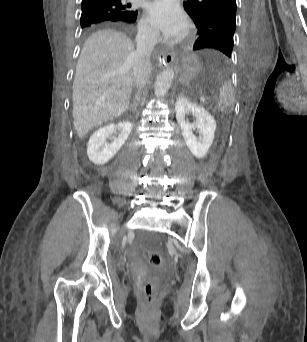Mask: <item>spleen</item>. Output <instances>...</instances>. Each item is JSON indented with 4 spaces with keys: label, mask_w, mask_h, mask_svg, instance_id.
<instances>
[{
    "label": "spleen",
    "mask_w": 307,
    "mask_h": 342,
    "mask_svg": "<svg viewBox=\"0 0 307 342\" xmlns=\"http://www.w3.org/2000/svg\"><path fill=\"white\" fill-rule=\"evenodd\" d=\"M234 100L233 88L229 82H223L219 94V110L222 114L232 113V104Z\"/></svg>",
    "instance_id": "spleen-1"
}]
</instances>
